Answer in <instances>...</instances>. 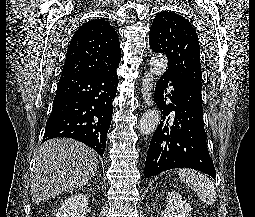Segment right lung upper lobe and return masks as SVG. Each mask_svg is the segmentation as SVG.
Here are the masks:
<instances>
[{
	"label": "right lung upper lobe",
	"instance_id": "cb5924a9",
	"mask_svg": "<svg viewBox=\"0 0 255 217\" xmlns=\"http://www.w3.org/2000/svg\"><path fill=\"white\" fill-rule=\"evenodd\" d=\"M120 60V43L115 29L103 19L91 20L73 35L62 75L114 72Z\"/></svg>",
	"mask_w": 255,
	"mask_h": 217
}]
</instances>
